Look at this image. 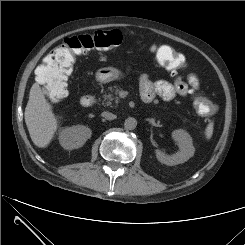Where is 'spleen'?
<instances>
[{
	"label": "spleen",
	"mask_w": 245,
	"mask_h": 245,
	"mask_svg": "<svg viewBox=\"0 0 245 245\" xmlns=\"http://www.w3.org/2000/svg\"><path fill=\"white\" fill-rule=\"evenodd\" d=\"M213 122L209 123L205 129V137L207 140L211 139L212 135H213Z\"/></svg>",
	"instance_id": "spleen-1"
}]
</instances>
